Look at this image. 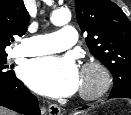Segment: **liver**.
Listing matches in <instances>:
<instances>
[{
  "label": "liver",
  "mask_w": 131,
  "mask_h": 115,
  "mask_svg": "<svg viewBox=\"0 0 131 115\" xmlns=\"http://www.w3.org/2000/svg\"><path fill=\"white\" fill-rule=\"evenodd\" d=\"M0 115H15V113H13L3 107H0Z\"/></svg>",
  "instance_id": "1"
}]
</instances>
